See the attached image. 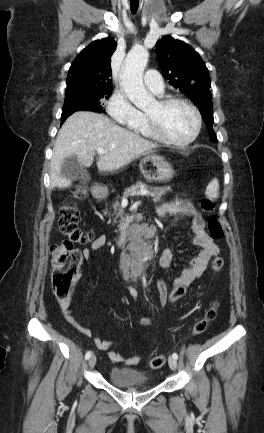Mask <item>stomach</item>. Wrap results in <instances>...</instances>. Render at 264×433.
Masks as SVG:
<instances>
[{
	"instance_id": "0dacf381",
	"label": "stomach",
	"mask_w": 264,
	"mask_h": 433,
	"mask_svg": "<svg viewBox=\"0 0 264 433\" xmlns=\"http://www.w3.org/2000/svg\"><path fill=\"white\" fill-rule=\"evenodd\" d=\"M139 168L144 178L150 182L166 183L174 176L172 165L159 155H144Z\"/></svg>"
}]
</instances>
